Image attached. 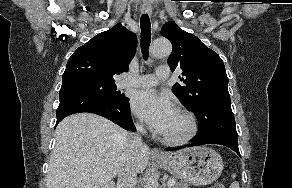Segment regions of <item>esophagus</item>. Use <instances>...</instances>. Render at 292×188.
Segmentation results:
<instances>
[{"instance_id":"esophagus-1","label":"esophagus","mask_w":292,"mask_h":188,"mask_svg":"<svg viewBox=\"0 0 292 188\" xmlns=\"http://www.w3.org/2000/svg\"><path fill=\"white\" fill-rule=\"evenodd\" d=\"M142 12L143 13H147V14H151V7L149 4H143L142 5ZM151 155L154 157H159V158H163L165 157V154L159 149V148H153L151 150Z\"/></svg>"}]
</instances>
